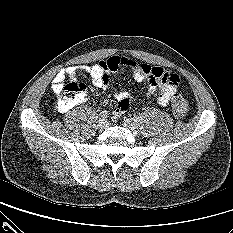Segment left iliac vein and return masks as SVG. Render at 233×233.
<instances>
[{
	"mask_svg": "<svg viewBox=\"0 0 233 233\" xmlns=\"http://www.w3.org/2000/svg\"><path fill=\"white\" fill-rule=\"evenodd\" d=\"M122 122L123 126L129 129L134 136L139 134V128L133 120L125 118Z\"/></svg>",
	"mask_w": 233,
	"mask_h": 233,
	"instance_id": "1",
	"label": "left iliac vein"
}]
</instances>
